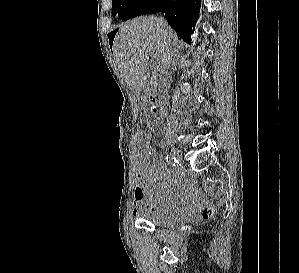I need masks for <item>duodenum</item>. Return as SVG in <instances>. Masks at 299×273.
<instances>
[{
	"label": "duodenum",
	"mask_w": 299,
	"mask_h": 273,
	"mask_svg": "<svg viewBox=\"0 0 299 273\" xmlns=\"http://www.w3.org/2000/svg\"><path fill=\"white\" fill-rule=\"evenodd\" d=\"M149 102H150V108L152 113L155 115L161 117L163 116V101L160 96H157L151 92L147 93Z\"/></svg>",
	"instance_id": "obj_1"
}]
</instances>
